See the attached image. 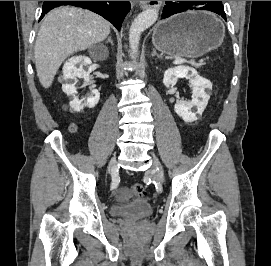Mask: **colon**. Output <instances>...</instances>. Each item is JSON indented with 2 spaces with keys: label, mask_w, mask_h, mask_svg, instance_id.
Returning a JSON list of instances; mask_svg holds the SVG:
<instances>
[{
  "label": "colon",
  "mask_w": 271,
  "mask_h": 266,
  "mask_svg": "<svg viewBox=\"0 0 271 266\" xmlns=\"http://www.w3.org/2000/svg\"><path fill=\"white\" fill-rule=\"evenodd\" d=\"M132 191L134 192V194H136L137 196H140V197H143L146 195V189H145L144 185L141 183H135L132 186Z\"/></svg>",
  "instance_id": "colon-1"
}]
</instances>
